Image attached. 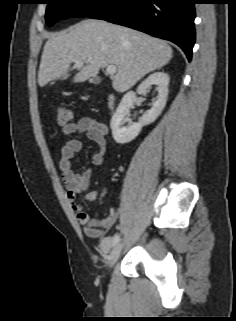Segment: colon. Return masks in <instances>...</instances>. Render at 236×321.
<instances>
[{"instance_id": "5ec220e1", "label": "colon", "mask_w": 236, "mask_h": 321, "mask_svg": "<svg viewBox=\"0 0 236 321\" xmlns=\"http://www.w3.org/2000/svg\"><path fill=\"white\" fill-rule=\"evenodd\" d=\"M71 120L70 111L62 106L56 108V122L59 126H64L68 124Z\"/></svg>"}]
</instances>
